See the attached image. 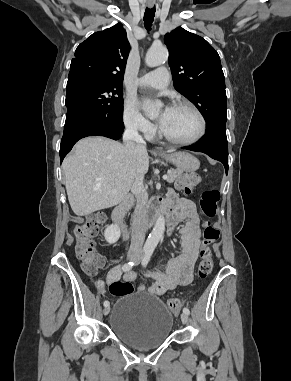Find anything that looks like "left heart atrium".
Listing matches in <instances>:
<instances>
[{
    "label": "left heart atrium",
    "mask_w": 291,
    "mask_h": 381,
    "mask_svg": "<svg viewBox=\"0 0 291 381\" xmlns=\"http://www.w3.org/2000/svg\"><path fill=\"white\" fill-rule=\"evenodd\" d=\"M170 110V108H167V109H165V112H168Z\"/></svg>",
    "instance_id": "obj_1"
}]
</instances>
